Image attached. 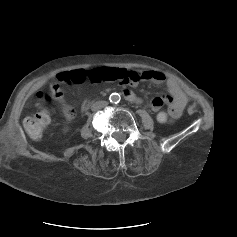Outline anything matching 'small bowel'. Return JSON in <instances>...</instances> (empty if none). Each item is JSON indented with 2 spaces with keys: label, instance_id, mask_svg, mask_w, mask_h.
<instances>
[{
  "label": "small bowel",
  "instance_id": "small-bowel-1",
  "mask_svg": "<svg viewBox=\"0 0 237 237\" xmlns=\"http://www.w3.org/2000/svg\"><path fill=\"white\" fill-rule=\"evenodd\" d=\"M137 74L139 75V79L142 80H149L155 84L166 83L168 94L159 95L152 99L150 104L152 111L158 112L164 104H167L168 111L173 118H178L182 115L187 105V98L174 81L166 80L165 75L158 71L144 70L138 71ZM58 98L63 102L61 96ZM131 98H133V95ZM65 116L67 119H71L73 113L66 111Z\"/></svg>",
  "mask_w": 237,
  "mask_h": 237
}]
</instances>
